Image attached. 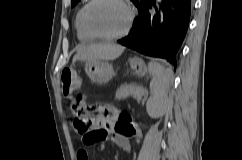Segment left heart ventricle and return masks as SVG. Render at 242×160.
I'll return each mask as SVG.
<instances>
[{"instance_id": "b2bd125f", "label": "left heart ventricle", "mask_w": 242, "mask_h": 160, "mask_svg": "<svg viewBox=\"0 0 242 160\" xmlns=\"http://www.w3.org/2000/svg\"><path fill=\"white\" fill-rule=\"evenodd\" d=\"M128 11L118 0H98L88 12L91 28L100 34H117L128 22Z\"/></svg>"}]
</instances>
